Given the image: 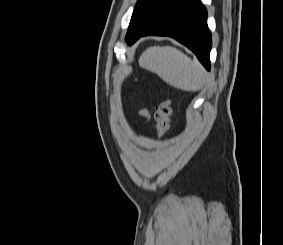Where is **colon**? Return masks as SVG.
Masks as SVG:
<instances>
[{"label":"colon","mask_w":283,"mask_h":245,"mask_svg":"<svg viewBox=\"0 0 283 245\" xmlns=\"http://www.w3.org/2000/svg\"><path fill=\"white\" fill-rule=\"evenodd\" d=\"M171 115L172 101L170 99H165L156 106L154 118L160 137L165 136L169 130Z\"/></svg>","instance_id":"5ec220e1"}]
</instances>
